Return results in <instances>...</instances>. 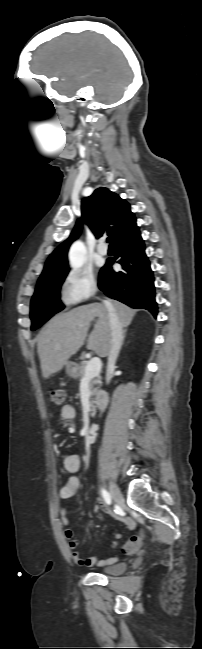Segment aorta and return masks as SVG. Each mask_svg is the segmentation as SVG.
<instances>
[{
	"label": "aorta",
	"instance_id": "aorta-1",
	"mask_svg": "<svg viewBox=\"0 0 202 649\" xmlns=\"http://www.w3.org/2000/svg\"><path fill=\"white\" fill-rule=\"evenodd\" d=\"M70 265L75 268H81L85 263V246L82 242H75L69 252Z\"/></svg>",
	"mask_w": 202,
	"mask_h": 649
}]
</instances>
